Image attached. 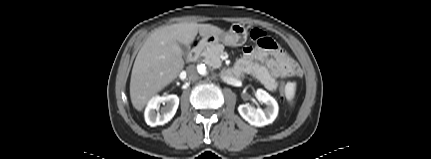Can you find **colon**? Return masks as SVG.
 <instances>
[{
  "label": "colon",
  "instance_id": "obj_1",
  "mask_svg": "<svg viewBox=\"0 0 431 159\" xmlns=\"http://www.w3.org/2000/svg\"><path fill=\"white\" fill-rule=\"evenodd\" d=\"M250 37L253 41H255L256 43L259 44H266L267 45V35L264 31L260 30V29H253L250 32ZM285 91V83H281V88H280V96H281V101L282 103H286L287 99L285 97L284 94Z\"/></svg>",
  "mask_w": 431,
  "mask_h": 159
}]
</instances>
